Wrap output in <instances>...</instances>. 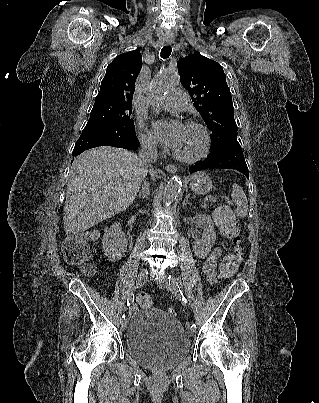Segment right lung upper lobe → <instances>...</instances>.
<instances>
[{"mask_svg": "<svg viewBox=\"0 0 319 403\" xmlns=\"http://www.w3.org/2000/svg\"><path fill=\"white\" fill-rule=\"evenodd\" d=\"M142 68V56L134 50L117 56L107 67L95 102L132 105L136 78Z\"/></svg>", "mask_w": 319, "mask_h": 403, "instance_id": "obj_1", "label": "right lung upper lobe"}]
</instances>
